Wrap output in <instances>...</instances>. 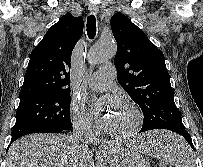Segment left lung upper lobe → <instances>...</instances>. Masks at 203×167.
<instances>
[{"instance_id": "left-lung-upper-lobe-1", "label": "left lung upper lobe", "mask_w": 203, "mask_h": 167, "mask_svg": "<svg viewBox=\"0 0 203 167\" xmlns=\"http://www.w3.org/2000/svg\"><path fill=\"white\" fill-rule=\"evenodd\" d=\"M111 28L117 41V79L142 109V129H185L163 53L122 13L112 16Z\"/></svg>"}]
</instances>
